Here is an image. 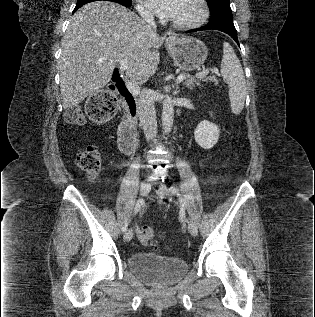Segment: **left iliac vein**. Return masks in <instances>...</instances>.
Masks as SVG:
<instances>
[{
	"instance_id": "left-iliac-vein-1",
	"label": "left iliac vein",
	"mask_w": 315,
	"mask_h": 317,
	"mask_svg": "<svg viewBox=\"0 0 315 317\" xmlns=\"http://www.w3.org/2000/svg\"><path fill=\"white\" fill-rule=\"evenodd\" d=\"M157 194L160 197H169V196H171V191L165 184H161L159 189L157 190ZM187 223H188V229H189L191 235L197 236L198 228H197L196 223L191 218L187 219Z\"/></svg>"
}]
</instances>
